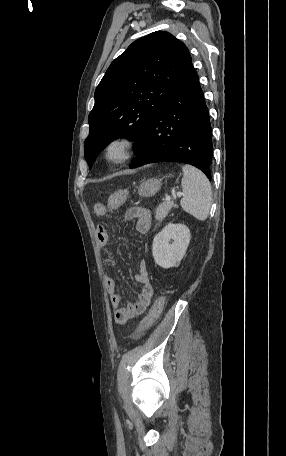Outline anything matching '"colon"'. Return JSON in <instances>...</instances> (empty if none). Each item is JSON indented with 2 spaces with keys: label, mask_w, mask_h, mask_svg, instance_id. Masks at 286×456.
<instances>
[{
  "label": "colon",
  "mask_w": 286,
  "mask_h": 456,
  "mask_svg": "<svg viewBox=\"0 0 286 456\" xmlns=\"http://www.w3.org/2000/svg\"><path fill=\"white\" fill-rule=\"evenodd\" d=\"M127 198L126 191H119L111 195L108 205L120 206L125 202ZM96 208L101 210L103 208L102 204H97ZM165 305V296L160 295L156 298L154 304L152 305L149 313L144 317V319L135 327L133 330L134 334H140L150 328L156 320L159 318Z\"/></svg>",
  "instance_id": "obj_1"
}]
</instances>
